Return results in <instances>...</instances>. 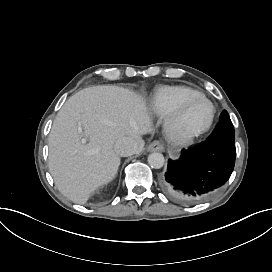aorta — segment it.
Segmentation results:
<instances>
[{
	"label": "aorta",
	"mask_w": 272,
	"mask_h": 272,
	"mask_svg": "<svg viewBox=\"0 0 272 272\" xmlns=\"http://www.w3.org/2000/svg\"><path fill=\"white\" fill-rule=\"evenodd\" d=\"M164 156L161 153L153 152L148 156V164L155 169H159L164 165Z\"/></svg>",
	"instance_id": "1"
}]
</instances>
